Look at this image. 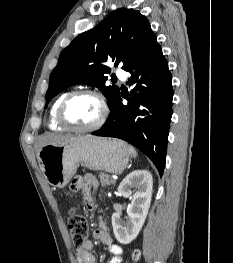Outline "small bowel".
Returning <instances> with one entry per match:
<instances>
[{"mask_svg": "<svg viewBox=\"0 0 233 263\" xmlns=\"http://www.w3.org/2000/svg\"><path fill=\"white\" fill-rule=\"evenodd\" d=\"M98 187V181L93 175H85L76 177L71 184L73 191L82 192L86 201L87 207L90 210L94 209V199L91 194L92 188ZM94 237L105 245L108 251L113 255L108 263H122L124 259V251L122 247L115 244L113 237L110 235L107 226L103 221L99 222L97 229L94 232ZM93 243L87 240L81 247L76 249V257L78 263H97L96 257L92 253Z\"/></svg>", "mask_w": 233, "mask_h": 263, "instance_id": "c3829d8e", "label": "small bowel"}]
</instances>
